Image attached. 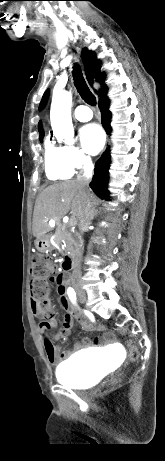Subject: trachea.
<instances>
[{
    "label": "trachea",
    "mask_w": 165,
    "mask_h": 461,
    "mask_svg": "<svg viewBox=\"0 0 165 461\" xmlns=\"http://www.w3.org/2000/svg\"><path fill=\"white\" fill-rule=\"evenodd\" d=\"M73 79L75 87L78 93L80 94L81 98L89 105H96V98L88 88L86 81L82 75V72L77 66H74ZM88 81L90 84L93 83V80L90 76H88Z\"/></svg>",
    "instance_id": "trachea-1"
}]
</instances>
